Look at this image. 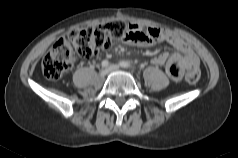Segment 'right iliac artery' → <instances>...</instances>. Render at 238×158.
<instances>
[{"mask_svg": "<svg viewBox=\"0 0 238 158\" xmlns=\"http://www.w3.org/2000/svg\"><path fill=\"white\" fill-rule=\"evenodd\" d=\"M103 68H106L109 65V62L107 60L102 61L101 63Z\"/></svg>", "mask_w": 238, "mask_h": 158, "instance_id": "1", "label": "right iliac artery"}]
</instances>
